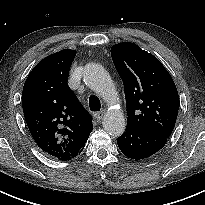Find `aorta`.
<instances>
[{
    "instance_id": "762f6f07",
    "label": "aorta",
    "mask_w": 205,
    "mask_h": 205,
    "mask_svg": "<svg viewBox=\"0 0 205 205\" xmlns=\"http://www.w3.org/2000/svg\"><path fill=\"white\" fill-rule=\"evenodd\" d=\"M83 78L84 82L110 106L103 118L104 129L112 136H121L126 121L120 109L111 108L118 102V95L110 75L101 65L90 63L84 69Z\"/></svg>"
}]
</instances>
